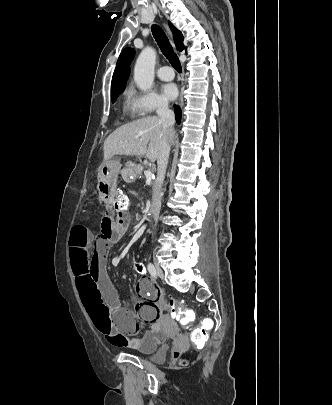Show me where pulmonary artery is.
I'll list each match as a JSON object with an SVG mask.
<instances>
[{
  "label": "pulmonary artery",
  "mask_w": 332,
  "mask_h": 405,
  "mask_svg": "<svg viewBox=\"0 0 332 405\" xmlns=\"http://www.w3.org/2000/svg\"><path fill=\"white\" fill-rule=\"evenodd\" d=\"M157 76L164 81H169L174 78V71L169 66H162L157 70Z\"/></svg>",
  "instance_id": "e3ab8cb5"
}]
</instances>
